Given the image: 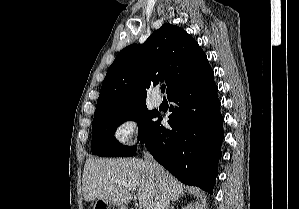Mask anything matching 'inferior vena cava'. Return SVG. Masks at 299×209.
<instances>
[{"label": "inferior vena cava", "instance_id": "1", "mask_svg": "<svg viewBox=\"0 0 299 209\" xmlns=\"http://www.w3.org/2000/svg\"><path fill=\"white\" fill-rule=\"evenodd\" d=\"M144 160L149 164L153 173L159 180V194L156 199L154 209H168L169 207V197L165 188V184L162 180L163 169L162 167L155 162L152 155L149 152H144Z\"/></svg>", "mask_w": 299, "mask_h": 209}]
</instances>
